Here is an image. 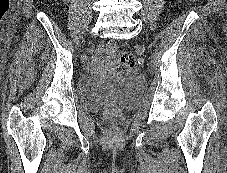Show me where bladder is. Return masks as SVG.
<instances>
[{
    "instance_id": "1",
    "label": "bladder",
    "mask_w": 227,
    "mask_h": 173,
    "mask_svg": "<svg viewBox=\"0 0 227 173\" xmlns=\"http://www.w3.org/2000/svg\"><path fill=\"white\" fill-rule=\"evenodd\" d=\"M145 92L144 80L137 74L118 71L103 75L86 74L77 85L80 104L96 111L107 103L129 108L140 103Z\"/></svg>"
}]
</instances>
